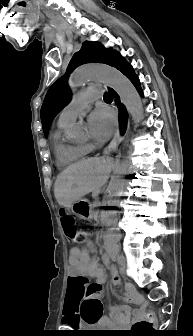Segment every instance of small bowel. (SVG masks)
I'll list each match as a JSON object with an SVG mask.
<instances>
[{
  "mask_svg": "<svg viewBox=\"0 0 193 336\" xmlns=\"http://www.w3.org/2000/svg\"><path fill=\"white\" fill-rule=\"evenodd\" d=\"M105 261H107V256ZM69 265L64 323L67 326H72L74 321H78L83 317V295L78 282L83 278H94L98 283H103L107 276L104 269L99 266L98 258L95 256V249L91 242H87L83 248H73L70 251ZM111 283L115 286L121 283V278L115 269H112ZM124 289L125 301L139 302L141 300L132 284H125ZM109 310L110 318L99 320V324L104 326L122 325L130 320L131 315L135 316L137 313L128 306H110Z\"/></svg>",
  "mask_w": 193,
  "mask_h": 336,
  "instance_id": "small-bowel-1",
  "label": "small bowel"
}]
</instances>
